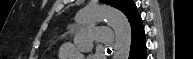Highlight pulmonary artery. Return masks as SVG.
Returning <instances> with one entry per match:
<instances>
[{"label":"pulmonary artery","instance_id":"e3ab8cb5","mask_svg":"<svg viewBox=\"0 0 193 59\" xmlns=\"http://www.w3.org/2000/svg\"><path fill=\"white\" fill-rule=\"evenodd\" d=\"M111 38V32L109 30H105L101 26H83L78 28L73 33V39L75 44L81 48L91 49L93 41L106 43Z\"/></svg>","mask_w":193,"mask_h":59}]
</instances>
